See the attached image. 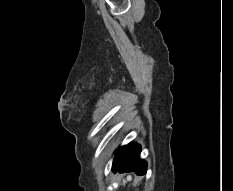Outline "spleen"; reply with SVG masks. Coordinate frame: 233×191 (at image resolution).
I'll use <instances>...</instances> for the list:
<instances>
[{"instance_id": "obj_1", "label": "spleen", "mask_w": 233, "mask_h": 191, "mask_svg": "<svg viewBox=\"0 0 233 191\" xmlns=\"http://www.w3.org/2000/svg\"><path fill=\"white\" fill-rule=\"evenodd\" d=\"M126 183V181H123V184H125Z\"/></svg>"}]
</instances>
